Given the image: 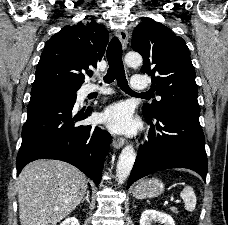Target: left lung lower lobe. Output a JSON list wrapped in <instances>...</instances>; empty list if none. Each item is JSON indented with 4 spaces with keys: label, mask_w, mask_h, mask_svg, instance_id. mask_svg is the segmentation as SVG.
Here are the masks:
<instances>
[{
    "label": "left lung lower lobe",
    "mask_w": 228,
    "mask_h": 225,
    "mask_svg": "<svg viewBox=\"0 0 228 225\" xmlns=\"http://www.w3.org/2000/svg\"><path fill=\"white\" fill-rule=\"evenodd\" d=\"M146 118L151 125L148 142L139 148L127 189L136 180L169 168L191 169L206 182L208 163L199 113L164 109Z\"/></svg>",
    "instance_id": "1"
}]
</instances>
